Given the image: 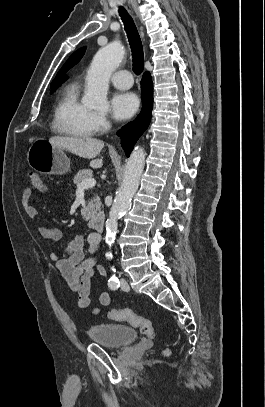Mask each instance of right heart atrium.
Segmentation results:
<instances>
[{
    "label": "right heart atrium",
    "mask_w": 265,
    "mask_h": 407,
    "mask_svg": "<svg viewBox=\"0 0 265 407\" xmlns=\"http://www.w3.org/2000/svg\"><path fill=\"white\" fill-rule=\"evenodd\" d=\"M92 122L95 131L102 132L107 130L111 123L108 116L104 113L94 112L92 116Z\"/></svg>",
    "instance_id": "obj_1"
}]
</instances>
